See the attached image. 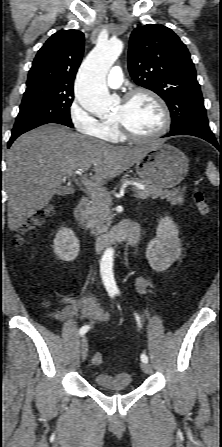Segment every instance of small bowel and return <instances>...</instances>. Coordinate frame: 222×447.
I'll return each instance as SVG.
<instances>
[{"instance_id": "obj_1", "label": "small bowel", "mask_w": 222, "mask_h": 447, "mask_svg": "<svg viewBox=\"0 0 222 447\" xmlns=\"http://www.w3.org/2000/svg\"><path fill=\"white\" fill-rule=\"evenodd\" d=\"M150 286H152V281L147 277H139L136 281V288L140 293H145ZM60 304L64 306L63 309L50 313L51 317L57 321H64L72 317L86 318L91 321H107L109 319V314L103 311L99 302L91 294L80 299L63 296L60 299ZM43 305L48 308L49 302L45 301Z\"/></svg>"}]
</instances>
